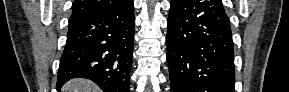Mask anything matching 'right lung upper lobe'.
Masks as SVG:
<instances>
[{
    "mask_svg": "<svg viewBox=\"0 0 289 92\" xmlns=\"http://www.w3.org/2000/svg\"><path fill=\"white\" fill-rule=\"evenodd\" d=\"M125 0H75L72 5L71 18L95 13L118 5Z\"/></svg>",
    "mask_w": 289,
    "mask_h": 92,
    "instance_id": "1",
    "label": "right lung upper lobe"
}]
</instances>
